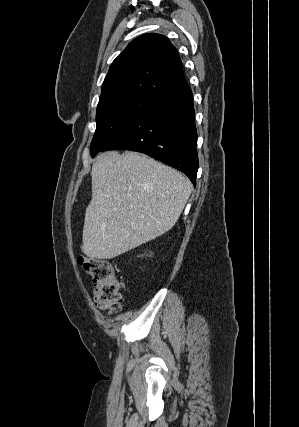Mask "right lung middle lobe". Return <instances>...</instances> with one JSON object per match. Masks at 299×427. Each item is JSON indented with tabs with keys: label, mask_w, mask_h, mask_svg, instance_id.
<instances>
[{
	"label": "right lung middle lobe",
	"mask_w": 299,
	"mask_h": 427,
	"mask_svg": "<svg viewBox=\"0 0 299 427\" xmlns=\"http://www.w3.org/2000/svg\"><path fill=\"white\" fill-rule=\"evenodd\" d=\"M153 102L151 98L136 95H119L99 101L97 127L90 145L92 157L130 127Z\"/></svg>",
	"instance_id": "obj_1"
}]
</instances>
